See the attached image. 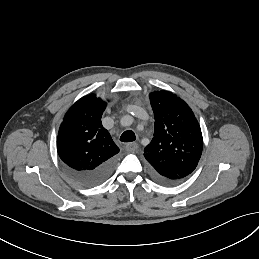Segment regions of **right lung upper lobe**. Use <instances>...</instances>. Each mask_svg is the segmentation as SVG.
<instances>
[{"mask_svg":"<svg viewBox=\"0 0 259 259\" xmlns=\"http://www.w3.org/2000/svg\"><path fill=\"white\" fill-rule=\"evenodd\" d=\"M106 102L89 94L66 113L57 138L61 160L77 171L91 170L114 158L119 148L102 126Z\"/></svg>","mask_w":259,"mask_h":259,"instance_id":"obj_1","label":"right lung upper lobe"}]
</instances>
